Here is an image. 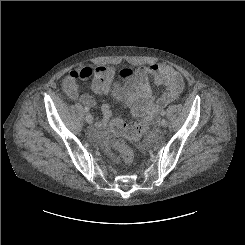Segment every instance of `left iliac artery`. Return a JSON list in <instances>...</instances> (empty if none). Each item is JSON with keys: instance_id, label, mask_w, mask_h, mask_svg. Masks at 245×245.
Here are the masks:
<instances>
[{"instance_id": "obj_1", "label": "left iliac artery", "mask_w": 245, "mask_h": 245, "mask_svg": "<svg viewBox=\"0 0 245 245\" xmlns=\"http://www.w3.org/2000/svg\"><path fill=\"white\" fill-rule=\"evenodd\" d=\"M165 114H166V112L163 110V111L161 112V115L164 116Z\"/></svg>"}]
</instances>
